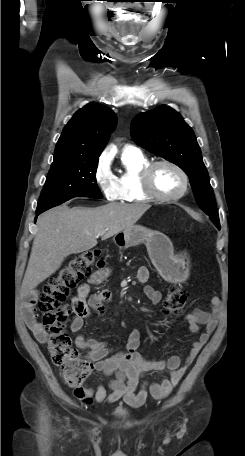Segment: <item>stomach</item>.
I'll use <instances>...</instances> for the list:
<instances>
[{"label":"stomach","mask_w":245,"mask_h":456,"mask_svg":"<svg viewBox=\"0 0 245 456\" xmlns=\"http://www.w3.org/2000/svg\"><path fill=\"white\" fill-rule=\"evenodd\" d=\"M119 248H128L144 243L149 257L164 279L170 282L182 281L188 271L184 253L175 254L169 239L159 231L141 225H133L114 237Z\"/></svg>","instance_id":"1"}]
</instances>
